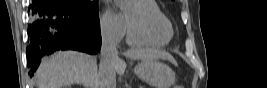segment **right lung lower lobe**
I'll use <instances>...</instances> for the list:
<instances>
[{
  "label": "right lung lower lobe",
  "instance_id": "1",
  "mask_svg": "<svg viewBox=\"0 0 267 88\" xmlns=\"http://www.w3.org/2000/svg\"><path fill=\"white\" fill-rule=\"evenodd\" d=\"M33 22L28 28L27 65L36 71L42 56L58 50L96 54L101 47L99 15L86 14L66 0H35L30 6Z\"/></svg>",
  "mask_w": 267,
  "mask_h": 88
}]
</instances>
